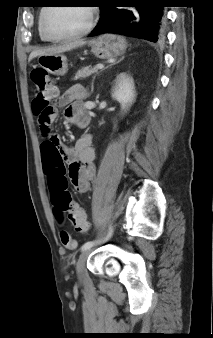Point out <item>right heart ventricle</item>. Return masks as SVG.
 I'll return each mask as SVG.
<instances>
[{"mask_svg": "<svg viewBox=\"0 0 213 338\" xmlns=\"http://www.w3.org/2000/svg\"><path fill=\"white\" fill-rule=\"evenodd\" d=\"M47 6H48V5H45V6L41 7V10H40L39 15H38V31H39L40 38H41L42 40H44V41H45V39H44V37H43V35H42V33H41V29H40V28H41V20H42V16H43L44 12L46 11Z\"/></svg>", "mask_w": 213, "mask_h": 338, "instance_id": "right-heart-ventricle-1", "label": "right heart ventricle"}]
</instances>
